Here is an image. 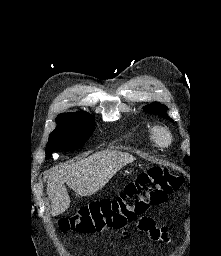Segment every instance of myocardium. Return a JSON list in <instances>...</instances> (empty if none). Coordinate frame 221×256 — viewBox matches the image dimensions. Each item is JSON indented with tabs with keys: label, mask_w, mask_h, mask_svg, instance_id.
<instances>
[{
	"label": "myocardium",
	"mask_w": 221,
	"mask_h": 256,
	"mask_svg": "<svg viewBox=\"0 0 221 256\" xmlns=\"http://www.w3.org/2000/svg\"><path fill=\"white\" fill-rule=\"evenodd\" d=\"M153 137L160 146H166L171 142L172 136L170 131L162 126H157L153 130Z\"/></svg>",
	"instance_id": "1"
}]
</instances>
